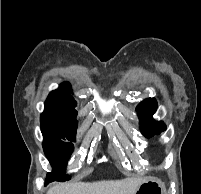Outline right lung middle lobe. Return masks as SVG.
Masks as SVG:
<instances>
[{
	"label": "right lung middle lobe",
	"mask_w": 201,
	"mask_h": 194,
	"mask_svg": "<svg viewBox=\"0 0 201 194\" xmlns=\"http://www.w3.org/2000/svg\"><path fill=\"white\" fill-rule=\"evenodd\" d=\"M41 131L44 137L43 149L55 173H48L47 179L64 181L66 164L73 151L77 121L58 108H45L41 114Z\"/></svg>",
	"instance_id": "1"
}]
</instances>
